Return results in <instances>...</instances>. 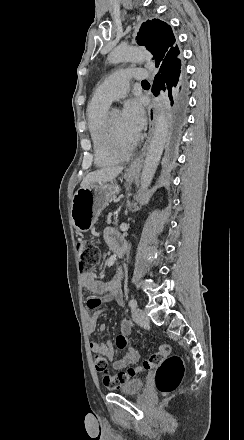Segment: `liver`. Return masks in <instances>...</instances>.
<instances>
[{
    "label": "liver",
    "mask_w": 244,
    "mask_h": 440,
    "mask_svg": "<svg viewBox=\"0 0 244 440\" xmlns=\"http://www.w3.org/2000/svg\"><path fill=\"white\" fill-rule=\"evenodd\" d=\"M124 168H101L96 172H90L85 178H83L80 186L81 188H88L90 184H106V182H113L119 174H121Z\"/></svg>",
    "instance_id": "6515ba94"
}]
</instances>
